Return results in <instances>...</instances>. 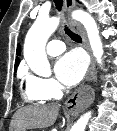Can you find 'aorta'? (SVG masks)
Listing matches in <instances>:
<instances>
[{"label":"aorta","mask_w":117,"mask_h":131,"mask_svg":"<svg viewBox=\"0 0 117 131\" xmlns=\"http://www.w3.org/2000/svg\"><path fill=\"white\" fill-rule=\"evenodd\" d=\"M72 17L81 22L86 29L93 55L98 64L102 63L103 44L99 35V29L94 18L87 12L77 10ZM59 18L38 17L29 29L24 43V58L31 70L42 77L51 75L45 46L48 38L57 29ZM91 112L83 114L72 126L71 131H85L86 125L91 117Z\"/></svg>","instance_id":"1"}]
</instances>
